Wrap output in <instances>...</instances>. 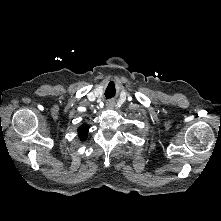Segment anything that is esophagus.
Masks as SVG:
<instances>
[{"mask_svg": "<svg viewBox=\"0 0 221 221\" xmlns=\"http://www.w3.org/2000/svg\"><path fill=\"white\" fill-rule=\"evenodd\" d=\"M113 105H114V103H113L112 101H108V102L106 103L107 108H112Z\"/></svg>", "mask_w": 221, "mask_h": 221, "instance_id": "obj_1", "label": "esophagus"}]
</instances>
